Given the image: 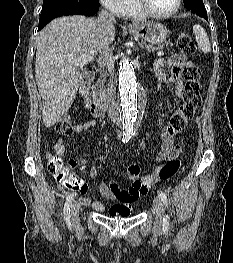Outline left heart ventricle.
<instances>
[{
    "instance_id": "b2bd125f",
    "label": "left heart ventricle",
    "mask_w": 233,
    "mask_h": 263,
    "mask_svg": "<svg viewBox=\"0 0 233 263\" xmlns=\"http://www.w3.org/2000/svg\"><path fill=\"white\" fill-rule=\"evenodd\" d=\"M146 3L154 12L166 13L174 8L176 0H146Z\"/></svg>"
}]
</instances>
